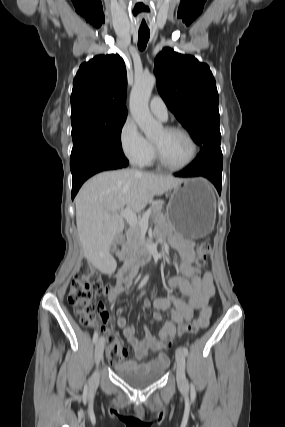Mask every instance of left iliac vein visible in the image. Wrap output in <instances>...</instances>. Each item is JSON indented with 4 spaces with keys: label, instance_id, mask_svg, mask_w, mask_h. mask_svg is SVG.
<instances>
[{
    "label": "left iliac vein",
    "instance_id": "left-iliac-vein-1",
    "mask_svg": "<svg viewBox=\"0 0 285 427\" xmlns=\"http://www.w3.org/2000/svg\"><path fill=\"white\" fill-rule=\"evenodd\" d=\"M176 364H177V383L181 389H187L188 383L185 377V355L183 351L178 348L176 350Z\"/></svg>",
    "mask_w": 285,
    "mask_h": 427
}]
</instances>
